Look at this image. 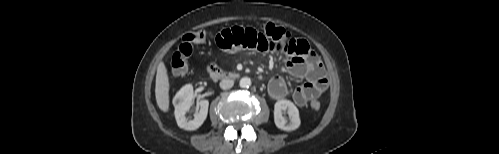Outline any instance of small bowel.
<instances>
[{"label":"small bowel","instance_id":"obj_1","mask_svg":"<svg viewBox=\"0 0 499 154\" xmlns=\"http://www.w3.org/2000/svg\"><path fill=\"white\" fill-rule=\"evenodd\" d=\"M216 44L226 52L253 50L287 55L289 59L286 69L289 75L306 80L292 93L293 102L298 107L317 100L328 88L329 82L323 64L306 40L290 36L286 42H275L257 29L237 26L217 34ZM268 91L275 100H282L289 93L287 83L281 76L271 78Z\"/></svg>","mask_w":499,"mask_h":154}]
</instances>
